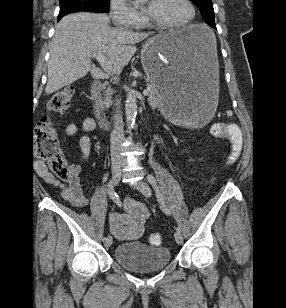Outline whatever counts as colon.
<instances>
[{
  "label": "colon",
  "mask_w": 286,
  "mask_h": 308,
  "mask_svg": "<svg viewBox=\"0 0 286 308\" xmlns=\"http://www.w3.org/2000/svg\"><path fill=\"white\" fill-rule=\"evenodd\" d=\"M74 96L73 87H65L57 91L47 103L48 115L43 116L34 129L35 151L39 158L44 160L52 174L61 180H68L71 176L69 165L65 161L57 143L54 122L49 114L64 113L70 106ZM212 133L217 137L229 136V126L226 123H215L212 125ZM232 149L228 158L230 164L235 163L242 151V140L239 138L230 140ZM152 246L162 244V236L153 233L149 236Z\"/></svg>",
  "instance_id": "obj_1"
}]
</instances>
